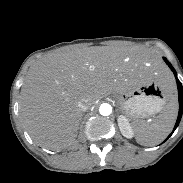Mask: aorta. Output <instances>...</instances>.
<instances>
[{"instance_id": "762f6f07", "label": "aorta", "mask_w": 183, "mask_h": 183, "mask_svg": "<svg viewBox=\"0 0 183 183\" xmlns=\"http://www.w3.org/2000/svg\"><path fill=\"white\" fill-rule=\"evenodd\" d=\"M99 113L103 116H108L112 113V107L108 103H103L99 107Z\"/></svg>"}]
</instances>
